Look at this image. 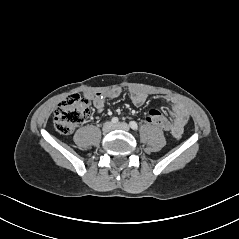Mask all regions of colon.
<instances>
[{"instance_id":"colon-1","label":"colon","mask_w":239,"mask_h":239,"mask_svg":"<svg viewBox=\"0 0 239 239\" xmlns=\"http://www.w3.org/2000/svg\"><path fill=\"white\" fill-rule=\"evenodd\" d=\"M91 114L90 101L78 94L65 97L57 106L54 114L55 129L62 135L71 134L76 126L89 118ZM143 121L145 125L156 126L160 130H166L170 121L164 114V108L160 105H152L146 111Z\"/></svg>"}]
</instances>
